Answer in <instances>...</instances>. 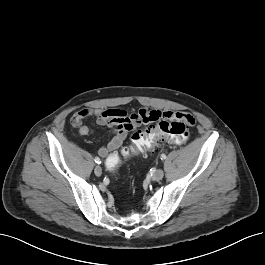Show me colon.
<instances>
[{
  "label": "colon",
  "mask_w": 265,
  "mask_h": 265,
  "mask_svg": "<svg viewBox=\"0 0 265 265\" xmlns=\"http://www.w3.org/2000/svg\"><path fill=\"white\" fill-rule=\"evenodd\" d=\"M149 116L151 125L143 131H137L132 134L130 144L122 149L121 154L123 157L146 151H156L163 142L177 145L184 144L190 136L189 126L195 123L193 117L182 120L167 117L160 112H151ZM121 162V157L118 154H112L106 160V167L108 170L113 171L121 165Z\"/></svg>",
  "instance_id": "1"
}]
</instances>
